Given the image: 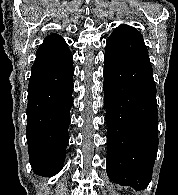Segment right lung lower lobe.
I'll use <instances>...</instances> for the list:
<instances>
[{
  "label": "right lung lower lobe",
  "mask_w": 178,
  "mask_h": 195,
  "mask_svg": "<svg viewBox=\"0 0 178 195\" xmlns=\"http://www.w3.org/2000/svg\"><path fill=\"white\" fill-rule=\"evenodd\" d=\"M73 75L72 60L31 71L26 136L35 174L53 176L63 167L69 141Z\"/></svg>",
  "instance_id": "1"
}]
</instances>
